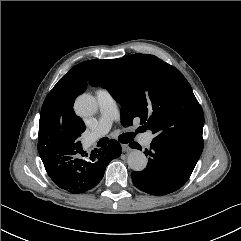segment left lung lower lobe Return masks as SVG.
<instances>
[{"mask_svg": "<svg viewBox=\"0 0 241 241\" xmlns=\"http://www.w3.org/2000/svg\"><path fill=\"white\" fill-rule=\"evenodd\" d=\"M129 146L141 150L137 142H131ZM145 154L149 156L147 168L132 172V181L138 189L158 196L181 188L201 155L179 145L154 139L150 149H145Z\"/></svg>", "mask_w": 241, "mask_h": 241, "instance_id": "0a47b994", "label": "left lung lower lobe"}]
</instances>
